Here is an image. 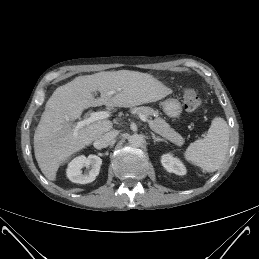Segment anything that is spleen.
<instances>
[{
  "mask_svg": "<svg viewBox=\"0 0 259 259\" xmlns=\"http://www.w3.org/2000/svg\"><path fill=\"white\" fill-rule=\"evenodd\" d=\"M229 145V128L221 117H215L207 135L191 143L184 152L185 159L206 172H214L223 163Z\"/></svg>",
  "mask_w": 259,
  "mask_h": 259,
  "instance_id": "3e777b00",
  "label": "spleen"
}]
</instances>
